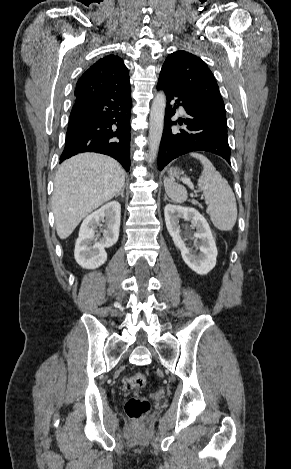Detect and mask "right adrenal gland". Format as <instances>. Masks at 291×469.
<instances>
[{
    "instance_id": "2a0ac1e0",
    "label": "right adrenal gland",
    "mask_w": 291,
    "mask_h": 469,
    "mask_svg": "<svg viewBox=\"0 0 291 469\" xmlns=\"http://www.w3.org/2000/svg\"><path fill=\"white\" fill-rule=\"evenodd\" d=\"M124 189H125V185L122 187V189L115 195V198L118 197L119 195H121L122 198H124Z\"/></svg>"
}]
</instances>
